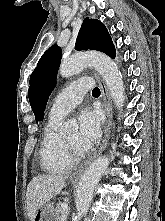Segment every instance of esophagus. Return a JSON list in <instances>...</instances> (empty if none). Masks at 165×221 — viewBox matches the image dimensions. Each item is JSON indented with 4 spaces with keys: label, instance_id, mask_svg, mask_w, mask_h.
<instances>
[{
    "label": "esophagus",
    "instance_id": "obj_1",
    "mask_svg": "<svg viewBox=\"0 0 165 221\" xmlns=\"http://www.w3.org/2000/svg\"><path fill=\"white\" fill-rule=\"evenodd\" d=\"M94 77L97 80L99 86H100V90H101V97L103 99V105H104V110L106 113V123H105V129H104V138L102 141L101 146L99 147L98 151L90 158L88 159L86 162H84L80 168L75 172V175H80L85 169L86 167L97 157L99 156L104 149L107 146V142L110 136V132H111V128H112V118H113V112H112V101L110 98V94L107 88L106 83L104 82V80L98 76L96 73H94Z\"/></svg>",
    "mask_w": 165,
    "mask_h": 221
}]
</instances>
